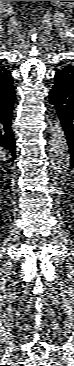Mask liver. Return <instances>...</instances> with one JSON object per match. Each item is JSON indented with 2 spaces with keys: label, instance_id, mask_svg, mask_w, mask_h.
<instances>
[{
  "label": "liver",
  "instance_id": "liver-1",
  "mask_svg": "<svg viewBox=\"0 0 74 366\" xmlns=\"http://www.w3.org/2000/svg\"><path fill=\"white\" fill-rule=\"evenodd\" d=\"M0 155H1V159L3 160L6 155V152L2 148L0 150Z\"/></svg>",
  "mask_w": 74,
  "mask_h": 366
}]
</instances>
